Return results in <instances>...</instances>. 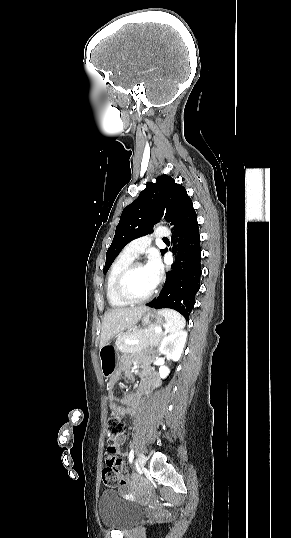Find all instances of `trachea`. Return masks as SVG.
Here are the masks:
<instances>
[{
  "mask_svg": "<svg viewBox=\"0 0 291 538\" xmlns=\"http://www.w3.org/2000/svg\"><path fill=\"white\" fill-rule=\"evenodd\" d=\"M163 240H164V241H168V239H167V238H164Z\"/></svg>",
  "mask_w": 291,
  "mask_h": 538,
  "instance_id": "3493384b",
  "label": "trachea"
}]
</instances>
